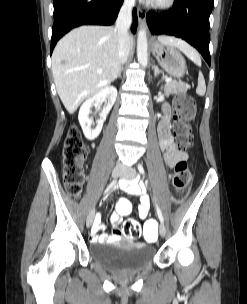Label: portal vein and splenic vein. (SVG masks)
<instances>
[{
    "label": "portal vein and splenic vein",
    "instance_id": "obj_1",
    "mask_svg": "<svg viewBox=\"0 0 247 304\" xmlns=\"http://www.w3.org/2000/svg\"><path fill=\"white\" fill-rule=\"evenodd\" d=\"M165 81L166 82L172 81V78L166 77Z\"/></svg>",
    "mask_w": 247,
    "mask_h": 304
}]
</instances>
